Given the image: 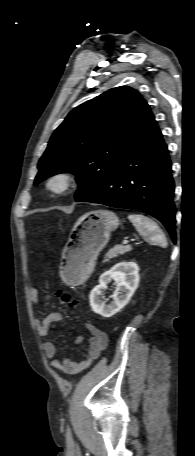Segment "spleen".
<instances>
[{
	"mask_svg": "<svg viewBox=\"0 0 195 456\" xmlns=\"http://www.w3.org/2000/svg\"><path fill=\"white\" fill-rule=\"evenodd\" d=\"M128 219L146 241L167 247L165 234L155 221L141 214H130Z\"/></svg>",
	"mask_w": 195,
	"mask_h": 456,
	"instance_id": "1",
	"label": "spleen"
}]
</instances>
